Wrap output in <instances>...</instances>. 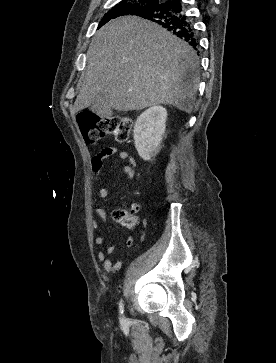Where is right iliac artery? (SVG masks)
<instances>
[{
    "mask_svg": "<svg viewBox=\"0 0 276 363\" xmlns=\"http://www.w3.org/2000/svg\"><path fill=\"white\" fill-rule=\"evenodd\" d=\"M119 312H120V314H123V312H124V304H123L122 299L119 302Z\"/></svg>",
    "mask_w": 276,
    "mask_h": 363,
    "instance_id": "right-iliac-artery-1",
    "label": "right iliac artery"
}]
</instances>
